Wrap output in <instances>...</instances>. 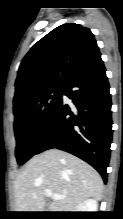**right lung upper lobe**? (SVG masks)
<instances>
[{"mask_svg":"<svg viewBox=\"0 0 123 219\" xmlns=\"http://www.w3.org/2000/svg\"><path fill=\"white\" fill-rule=\"evenodd\" d=\"M101 56L89 28L67 23L39 40L23 58L15 82L17 101L43 89L65 86Z\"/></svg>","mask_w":123,"mask_h":219,"instance_id":"1","label":"right lung upper lobe"}]
</instances>
